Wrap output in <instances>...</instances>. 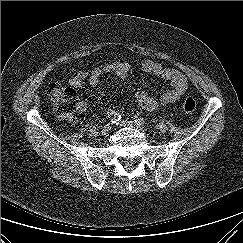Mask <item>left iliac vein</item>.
<instances>
[{
	"label": "left iliac vein",
	"mask_w": 243,
	"mask_h": 243,
	"mask_svg": "<svg viewBox=\"0 0 243 243\" xmlns=\"http://www.w3.org/2000/svg\"><path fill=\"white\" fill-rule=\"evenodd\" d=\"M121 125L130 126L146 136H152V132L149 129L145 128L143 125H141L137 122L123 120L121 122Z\"/></svg>",
	"instance_id": "4c4485c4"
}]
</instances>
